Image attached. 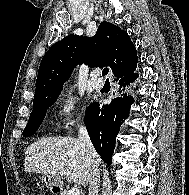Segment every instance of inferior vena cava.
I'll use <instances>...</instances> for the list:
<instances>
[{
    "mask_svg": "<svg viewBox=\"0 0 189 195\" xmlns=\"http://www.w3.org/2000/svg\"><path fill=\"white\" fill-rule=\"evenodd\" d=\"M79 139L86 147L87 155L89 158V162L91 164V174L92 177L89 181V189L88 195H98V188L100 183V173L97 162L95 158L97 157V153L92 145V142L89 138L88 131L84 125L79 127Z\"/></svg>",
    "mask_w": 189,
    "mask_h": 195,
    "instance_id": "602c4592",
    "label": "inferior vena cava"
}]
</instances>
